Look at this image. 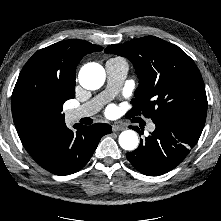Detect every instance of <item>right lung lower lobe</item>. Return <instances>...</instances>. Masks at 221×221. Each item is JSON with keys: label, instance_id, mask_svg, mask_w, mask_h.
Here are the masks:
<instances>
[{"label": "right lung lower lobe", "instance_id": "right-lung-lower-lobe-1", "mask_svg": "<svg viewBox=\"0 0 221 221\" xmlns=\"http://www.w3.org/2000/svg\"><path fill=\"white\" fill-rule=\"evenodd\" d=\"M74 127L75 132L66 126L40 132L23 145L47 171L60 176L73 174L88 163L100 139L112 131L110 125L103 123Z\"/></svg>", "mask_w": 221, "mask_h": 221}]
</instances>
